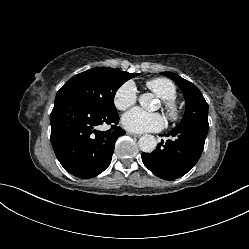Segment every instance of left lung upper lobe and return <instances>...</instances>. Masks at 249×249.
<instances>
[{"label": "left lung upper lobe", "instance_id": "left-lung-upper-lobe-1", "mask_svg": "<svg viewBox=\"0 0 249 249\" xmlns=\"http://www.w3.org/2000/svg\"><path fill=\"white\" fill-rule=\"evenodd\" d=\"M161 74L175 81L185 97V114L177 127L184 126L195 120H208V104L194 84L174 73L161 72Z\"/></svg>", "mask_w": 249, "mask_h": 249}]
</instances>
